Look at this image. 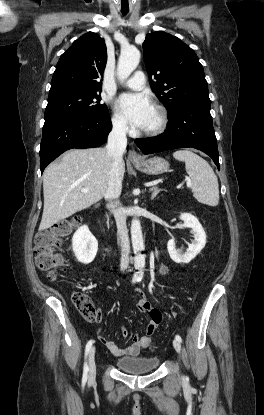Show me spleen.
Instances as JSON below:
<instances>
[{
    "label": "spleen",
    "mask_w": 264,
    "mask_h": 415,
    "mask_svg": "<svg viewBox=\"0 0 264 415\" xmlns=\"http://www.w3.org/2000/svg\"><path fill=\"white\" fill-rule=\"evenodd\" d=\"M173 157L185 162L194 198L200 203L217 206L219 202L218 180L207 161L190 150H177L173 153Z\"/></svg>",
    "instance_id": "3e777b00"
}]
</instances>
